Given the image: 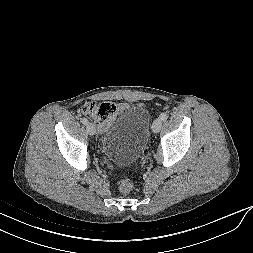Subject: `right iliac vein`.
Wrapping results in <instances>:
<instances>
[{"label":"right iliac vein","instance_id":"obj_1","mask_svg":"<svg viewBox=\"0 0 253 253\" xmlns=\"http://www.w3.org/2000/svg\"><path fill=\"white\" fill-rule=\"evenodd\" d=\"M86 128H87V132L90 135H94L96 133V128L92 123H88Z\"/></svg>","mask_w":253,"mask_h":253}]
</instances>
